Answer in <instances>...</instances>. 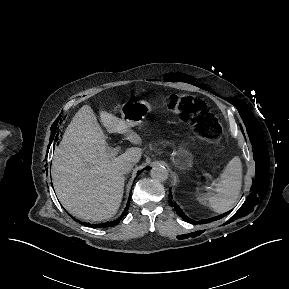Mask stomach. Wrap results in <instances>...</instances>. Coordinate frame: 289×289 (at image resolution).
I'll list each match as a JSON object with an SVG mask.
<instances>
[{"label": "stomach", "instance_id": "obj_1", "mask_svg": "<svg viewBox=\"0 0 289 289\" xmlns=\"http://www.w3.org/2000/svg\"><path fill=\"white\" fill-rule=\"evenodd\" d=\"M122 120L129 126L133 127L142 122L150 112V104L145 100H138L121 107ZM192 155L185 150L182 156L177 160L179 167H186L191 162Z\"/></svg>", "mask_w": 289, "mask_h": 289}]
</instances>
